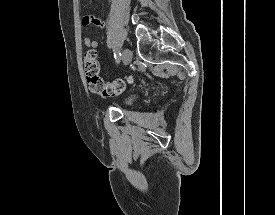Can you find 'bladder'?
Segmentation results:
<instances>
[{
  "label": "bladder",
  "instance_id": "31cf9c89",
  "mask_svg": "<svg viewBox=\"0 0 275 215\" xmlns=\"http://www.w3.org/2000/svg\"><path fill=\"white\" fill-rule=\"evenodd\" d=\"M131 101H132V98L129 97V98L127 99V103H131Z\"/></svg>",
  "mask_w": 275,
  "mask_h": 215
}]
</instances>
